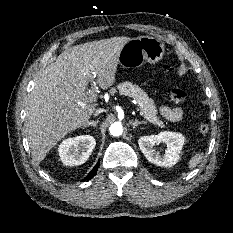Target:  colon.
<instances>
[{
    "label": "colon",
    "mask_w": 233,
    "mask_h": 233,
    "mask_svg": "<svg viewBox=\"0 0 233 233\" xmlns=\"http://www.w3.org/2000/svg\"><path fill=\"white\" fill-rule=\"evenodd\" d=\"M163 70L165 73H170L172 71V66L166 64L163 66ZM168 99L170 102L175 104L184 103L187 100V94L180 89L174 88L169 91ZM198 131L203 135L209 134L210 125L207 118L204 117L199 121Z\"/></svg>",
    "instance_id": "1"
}]
</instances>
